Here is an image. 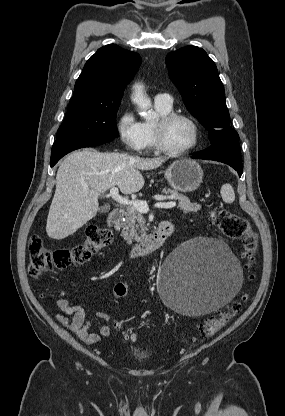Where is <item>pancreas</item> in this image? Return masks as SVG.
<instances>
[{
  "label": "pancreas",
  "instance_id": "cf45deb5",
  "mask_svg": "<svg viewBox=\"0 0 285 416\" xmlns=\"http://www.w3.org/2000/svg\"><path fill=\"white\" fill-rule=\"evenodd\" d=\"M163 194H170L173 196V200H178L179 204L177 208H180L184 214H188V212H198L201 210L202 206L200 204H191L189 198L187 196H183V194H178L176 190H162ZM146 220L143 218L141 212H138L136 208L133 206H127L125 212V222H122L121 228L123 238L128 242V244H132L133 240H138V238H144L146 236L147 228L145 226Z\"/></svg>",
  "mask_w": 285,
  "mask_h": 416
}]
</instances>
